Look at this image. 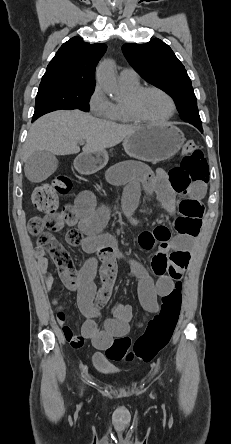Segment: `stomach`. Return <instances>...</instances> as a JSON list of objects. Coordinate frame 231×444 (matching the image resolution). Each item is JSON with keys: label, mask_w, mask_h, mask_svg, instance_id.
I'll return each mask as SVG.
<instances>
[{"label": "stomach", "mask_w": 231, "mask_h": 444, "mask_svg": "<svg viewBox=\"0 0 231 444\" xmlns=\"http://www.w3.org/2000/svg\"><path fill=\"white\" fill-rule=\"evenodd\" d=\"M185 142L182 131L170 123L152 124L139 127L123 142L125 152L132 158L157 162L175 155ZM108 162L104 151L81 154L75 161L76 169L91 174L103 168Z\"/></svg>", "instance_id": "0dacf381"}]
</instances>
